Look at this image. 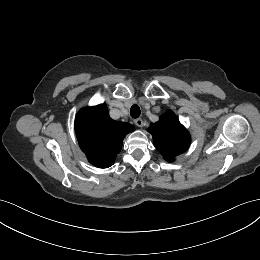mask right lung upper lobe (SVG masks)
Here are the masks:
<instances>
[{"label": "right lung upper lobe", "mask_w": 260, "mask_h": 260, "mask_svg": "<svg viewBox=\"0 0 260 260\" xmlns=\"http://www.w3.org/2000/svg\"><path fill=\"white\" fill-rule=\"evenodd\" d=\"M135 130L126 122L110 118L105 103L81 109L75 118V132L89 162L98 168L113 165L124 137Z\"/></svg>", "instance_id": "obj_1"}]
</instances>
